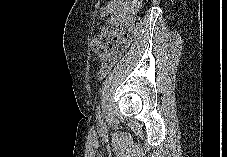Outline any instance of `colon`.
I'll return each instance as SVG.
<instances>
[{
	"instance_id": "obj_1",
	"label": "colon",
	"mask_w": 227,
	"mask_h": 157,
	"mask_svg": "<svg viewBox=\"0 0 227 157\" xmlns=\"http://www.w3.org/2000/svg\"><path fill=\"white\" fill-rule=\"evenodd\" d=\"M138 28L139 20L136 19L119 38L114 37L116 31L109 26L101 27L99 33L93 37L92 51L96 57L103 60L99 71L100 77H105L127 52L130 43L137 35ZM111 40H113L112 45Z\"/></svg>"
}]
</instances>
